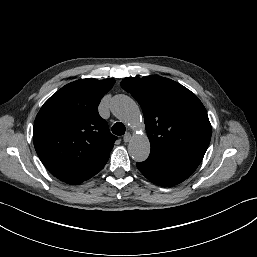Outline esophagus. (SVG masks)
I'll use <instances>...</instances> for the list:
<instances>
[{
    "instance_id": "34e87169",
    "label": "esophagus",
    "mask_w": 257,
    "mask_h": 257,
    "mask_svg": "<svg viewBox=\"0 0 257 257\" xmlns=\"http://www.w3.org/2000/svg\"><path fill=\"white\" fill-rule=\"evenodd\" d=\"M131 139V134L130 133H126L124 136H123V141L125 143L129 142Z\"/></svg>"
}]
</instances>
